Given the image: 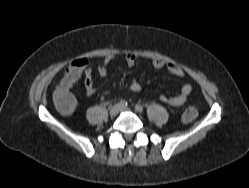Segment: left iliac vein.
<instances>
[{
	"label": "left iliac vein",
	"instance_id": "4c4485c4",
	"mask_svg": "<svg viewBox=\"0 0 249 188\" xmlns=\"http://www.w3.org/2000/svg\"><path fill=\"white\" fill-rule=\"evenodd\" d=\"M119 110L122 111V112H124V111H129L130 112L131 111V109L128 108V107H120Z\"/></svg>",
	"mask_w": 249,
	"mask_h": 188
}]
</instances>
